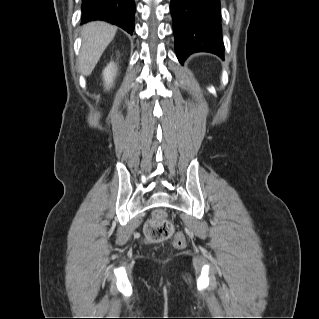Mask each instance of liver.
Wrapping results in <instances>:
<instances>
[{
  "label": "liver",
  "mask_w": 319,
  "mask_h": 319,
  "mask_svg": "<svg viewBox=\"0 0 319 319\" xmlns=\"http://www.w3.org/2000/svg\"><path fill=\"white\" fill-rule=\"evenodd\" d=\"M117 27L96 21L82 27L83 39L79 57L80 71L88 76L92 73L106 47L113 40Z\"/></svg>",
  "instance_id": "obj_1"
}]
</instances>
